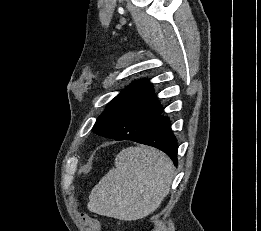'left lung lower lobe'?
I'll list each match as a JSON object with an SVG mask.
<instances>
[{"label": "left lung lower lobe", "mask_w": 261, "mask_h": 231, "mask_svg": "<svg viewBox=\"0 0 261 231\" xmlns=\"http://www.w3.org/2000/svg\"><path fill=\"white\" fill-rule=\"evenodd\" d=\"M116 140H132L162 150L177 165V140L171 130L168 117L160 115L140 138L124 137Z\"/></svg>", "instance_id": "0a47b994"}]
</instances>
